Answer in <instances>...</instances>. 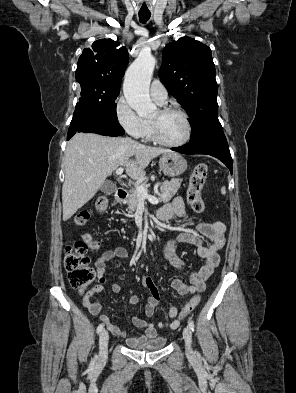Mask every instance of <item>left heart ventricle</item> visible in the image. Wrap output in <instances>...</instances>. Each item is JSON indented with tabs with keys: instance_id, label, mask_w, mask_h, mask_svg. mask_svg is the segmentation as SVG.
<instances>
[{
	"instance_id": "obj_1",
	"label": "left heart ventricle",
	"mask_w": 296,
	"mask_h": 393,
	"mask_svg": "<svg viewBox=\"0 0 296 393\" xmlns=\"http://www.w3.org/2000/svg\"><path fill=\"white\" fill-rule=\"evenodd\" d=\"M156 122L160 137L167 142H177L186 135V124L178 113L163 115L157 111L151 118Z\"/></svg>"
}]
</instances>
